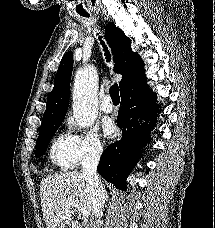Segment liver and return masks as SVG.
Here are the masks:
<instances>
[{"instance_id":"1","label":"liver","mask_w":215,"mask_h":228,"mask_svg":"<svg viewBox=\"0 0 215 228\" xmlns=\"http://www.w3.org/2000/svg\"><path fill=\"white\" fill-rule=\"evenodd\" d=\"M41 208L46 228H82L73 220L72 208L65 204L68 198L87 210L88 218L93 212L92 192L88 180L82 174H54L43 178L40 186Z\"/></svg>"}]
</instances>
